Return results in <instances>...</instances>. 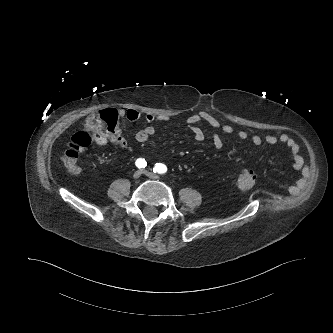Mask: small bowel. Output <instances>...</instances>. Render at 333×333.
I'll use <instances>...</instances> for the list:
<instances>
[{"label": "small bowel", "instance_id": "1", "mask_svg": "<svg viewBox=\"0 0 333 333\" xmlns=\"http://www.w3.org/2000/svg\"><path fill=\"white\" fill-rule=\"evenodd\" d=\"M121 116L125 117L131 122H138L140 120H144L147 123V125L143 129L139 130L135 135L136 141L140 144L146 143L150 139V137H152L156 133V129L152 125L155 121H168V117L166 115H156L153 113H147L143 115L142 113L134 109L122 111ZM202 122L207 123L215 130L212 133V144L213 147L217 150L222 149L224 146V141L221 134H236L240 140H247L249 138V135L245 130H239L236 132L233 126L220 122L217 118L206 112H199L188 116L183 122L186 127L191 129L192 137L195 141L200 142L204 140V132L198 127V124ZM96 142L99 147H106L108 145V142H111L124 149H130V145L125 139V137L122 135L119 127H117L115 134L109 136L108 138L106 136H99ZM251 142L255 146H261L263 143H266L268 145H276L278 143L284 144L291 152L294 168L304 171L305 164L304 158L301 154L300 146L298 142L287 133H280L278 135L265 134L263 136L253 135L251 137ZM250 172L253 173L256 178L255 173L253 171ZM302 183V180L297 182L295 185L292 186V190H296L297 187Z\"/></svg>", "mask_w": 333, "mask_h": 333}]
</instances>
